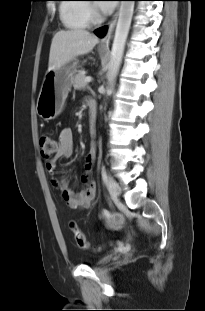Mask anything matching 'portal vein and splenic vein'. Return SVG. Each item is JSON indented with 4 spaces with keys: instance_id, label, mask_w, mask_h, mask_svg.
I'll list each match as a JSON object with an SVG mask.
<instances>
[{
    "instance_id": "18ae733b",
    "label": "portal vein and splenic vein",
    "mask_w": 205,
    "mask_h": 311,
    "mask_svg": "<svg viewBox=\"0 0 205 311\" xmlns=\"http://www.w3.org/2000/svg\"><path fill=\"white\" fill-rule=\"evenodd\" d=\"M91 81H92V78H91L90 76H88V77L85 78V82H86V83H89V82H91Z\"/></svg>"
}]
</instances>
